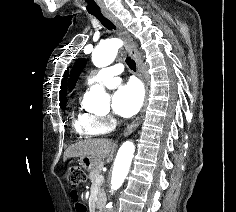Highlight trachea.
<instances>
[{
	"mask_svg": "<svg viewBox=\"0 0 236 212\" xmlns=\"http://www.w3.org/2000/svg\"><path fill=\"white\" fill-rule=\"evenodd\" d=\"M90 14L95 16L101 22V24L108 30L115 29L114 24L109 19H107L101 12H90ZM126 63L131 70L136 71V64L130 57L126 58Z\"/></svg>",
	"mask_w": 236,
	"mask_h": 212,
	"instance_id": "3493384b",
	"label": "trachea"
}]
</instances>
